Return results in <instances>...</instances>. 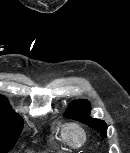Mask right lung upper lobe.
Instances as JSON below:
<instances>
[{"label": "right lung upper lobe", "mask_w": 130, "mask_h": 153, "mask_svg": "<svg viewBox=\"0 0 130 153\" xmlns=\"http://www.w3.org/2000/svg\"><path fill=\"white\" fill-rule=\"evenodd\" d=\"M8 104L7 98L0 96V114L17 115Z\"/></svg>", "instance_id": "1"}]
</instances>
